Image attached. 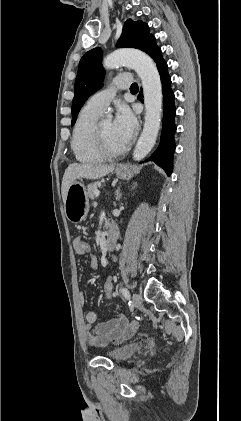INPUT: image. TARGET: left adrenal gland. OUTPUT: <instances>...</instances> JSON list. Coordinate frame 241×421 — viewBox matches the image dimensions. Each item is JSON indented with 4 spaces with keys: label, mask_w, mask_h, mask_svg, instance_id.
Here are the masks:
<instances>
[{
    "label": "left adrenal gland",
    "mask_w": 241,
    "mask_h": 421,
    "mask_svg": "<svg viewBox=\"0 0 241 421\" xmlns=\"http://www.w3.org/2000/svg\"><path fill=\"white\" fill-rule=\"evenodd\" d=\"M136 183H134V186L132 187V189L135 188ZM122 197V194L120 193V187L117 189L116 191V200L119 201Z\"/></svg>",
    "instance_id": "obj_1"
}]
</instances>
